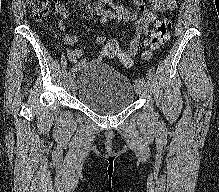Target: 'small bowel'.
Instances as JSON below:
<instances>
[{
  "instance_id": "obj_1",
  "label": "small bowel",
  "mask_w": 219,
  "mask_h": 192,
  "mask_svg": "<svg viewBox=\"0 0 219 192\" xmlns=\"http://www.w3.org/2000/svg\"><path fill=\"white\" fill-rule=\"evenodd\" d=\"M109 0H99L95 5L94 8L98 14L102 16L104 20L106 19H122L127 22H133L136 26V33L137 37L133 40L132 43H138L139 37L141 35L149 36L150 34V27L153 22L157 19L158 15L163 12L173 11L176 8L175 0H150L151 6L146 7L142 0H132V3L141 11V15L138 16L132 10L125 8V7H116V13H111L104 11L102 9V3L107 2ZM55 11L59 16L58 19V26L59 29L65 34L64 35V42L67 45H72L80 42V38L76 36H70L66 33V27L63 20H68L70 18V12L62 4L60 1H56L55 3ZM105 41L104 36H98L94 39L93 44L99 45ZM68 59L76 63V66H80L85 62V60L80 61V58L84 55L83 50L81 49H74L68 50L67 52ZM151 57V53H144L143 58L149 59Z\"/></svg>"
}]
</instances>
